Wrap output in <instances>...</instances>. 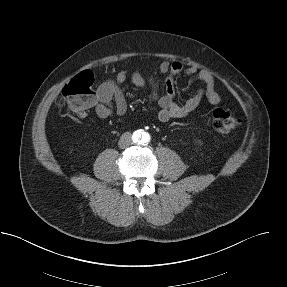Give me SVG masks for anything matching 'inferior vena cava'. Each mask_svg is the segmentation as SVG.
<instances>
[{
    "mask_svg": "<svg viewBox=\"0 0 287 287\" xmlns=\"http://www.w3.org/2000/svg\"><path fill=\"white\" fill-rule=\"evenodd\" d=\"M131 144H132L131 134L129 132L122 134L118 142L119 147L123 149L129 147Z\"/></svg>",
    "mask_w": 287,
    "mask_h": 287,
    "instance_id": "602c4592",
    "label": "inferior vena cava"
}]
</instances>
